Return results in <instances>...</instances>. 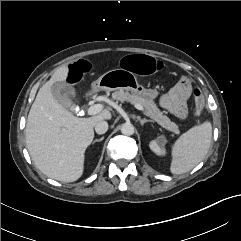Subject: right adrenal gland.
I'll list each match as a JSON object with an SVG mask.
<instances>
[{
    "label": "right adrenal gland",
    "instance_id": "obj_1",
    "mask_svg": "<svg viewBox=\"0 0 241 241\" xmlns=\"http://www.w3.org/2000/svg\"><path fill=\"white\" fill-rule=\"evenodd\" d=\"M103 139H104V137H101L100 139H95V140L93 141V144H95L96 142H101Z\"/></svg>",
    "mask_w": 241,
    "mask_h": 241
}]
</instances>
